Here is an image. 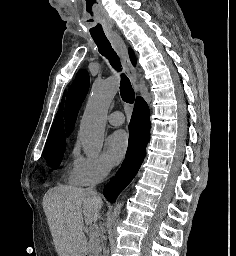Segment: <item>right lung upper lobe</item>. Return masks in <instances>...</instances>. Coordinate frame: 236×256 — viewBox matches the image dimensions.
I'll return each mask as SVG.
<instances>
[{
    "label": "right lung upper lobe",
    "mask_w": 236,
    "mask_h": 256,
    "mask_svg": "<svg viewBox=\"0 0 236 256\" xmlns=\"http://www.w3.org/2000/svg\"><path fill=\"white\" fill-rule=\"evenodd\" d=\"M129 55L133 65H135L136 59L131 49H129ZM63 102H64V96L62 98V103L59 106V110L57 112L56 118L54 120L52 129H51V133L47 142H54V141L65 139L64 127H63V112H62Z\"/></svg>",
    "instance_id": "1"
}]
</instances>
